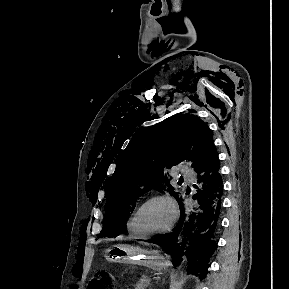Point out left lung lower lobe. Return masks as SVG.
Segmentation results:
<instances>
[{
    "instance_id": "1",
    "label": "left lung lower lobe",
    "mask_w": 289,
    "mask_h": 289,
    "mask_svg": "<svg viewBox=\"0 0 289 289\" xmlns=\"http://www.w3.org/2000/svg\"><path fill=\"white\" fill-rule=\"evenodd\" d=\"M198 177L197 193L192 208L184 212L181 197L177 202L180 206L181 218L174 231L149 240L167 250L176 262L183 254L187 241H190L188 267L193 273L204 277L210 255L216 249L212 236L217 226L221 208L222 178L220 161L216 148L211 152L204 164L196 170ZM182 260V259H181Z\"/></svg>"
}]
</instances>
